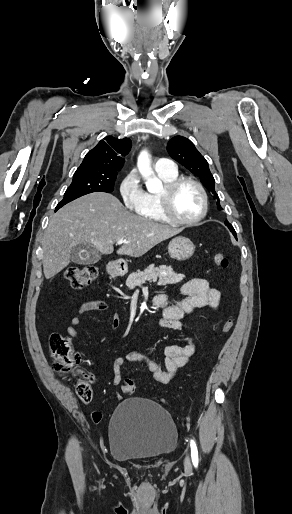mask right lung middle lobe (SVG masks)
Instances as JSON below:
<instances>
[{"label":"right lung middle lobe","instance_id":"right-lung-middle-lobe-1","mask_svg":"<svg viewBox=\"0 0 292 514\" xmlns=\"http://www.w3.org/2000/svg\"><path fill=\"white\" fill-rule=\"evenodd\" d=\"M116 177L111 176H91L75 175L71 185L67 188L64 198L58 203L56 210L83 195L92 192L111 193L114 189Z\"/></svg>","mask_w":292,"mask_h":514}]
</instances>
